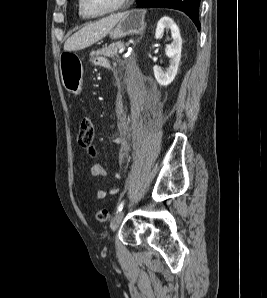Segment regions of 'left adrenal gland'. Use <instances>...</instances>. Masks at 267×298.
Returning <instances> with one entry per match:
<instances>
[{"label": "left adrenal gland", "instance_id": "left-adrenal-gland-1", "mask_svg": "<svg viewBox=\"0 0 267 298\" xmlns=\"http://www.w3.org/2000/svg\"><path fill=\"white\" fill-rule=\"evenodd\" d=\"M142 37H140L138 40H137V42H139V40L141 39Z\"/></svg>", "mask_w": 267, "mask_h": 298}]
</instances>
